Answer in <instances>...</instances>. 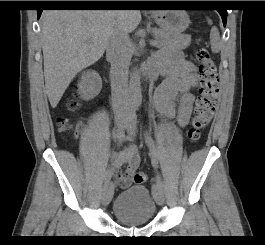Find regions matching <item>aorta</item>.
Masks as SVG:
<instances>
[{
    "label": "aorta",
    "instance_id": "obj_1",
    "mask_svg": "<svg viewBox=\"0 0 265 245\" xmlns=\"http://www.w3.org/2000/svg\"><path fill=\"white\" fill-rule=\"evenodd\" d=\"M129 92L131 95V100L133 102H138L141 99V87H140V73L134 70L130 77L129 82Z\"/></svg>",
    "mask_w": 265,
    "mask_h": 245
}]
</instances>
